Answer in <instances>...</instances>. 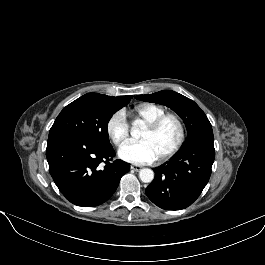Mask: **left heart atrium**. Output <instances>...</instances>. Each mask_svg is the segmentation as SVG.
Instances as JSON below:
<instances>
[{
    "instance_id": "39dd6f15",
    "label": "left heart atrium",
    "mask_w": 265,
    "mask_h": 265,
    "mask_svg": "<svg viewBox=\"0 0 265 265\" xmlns=\"http://www.w3.org/2000/svg\"><path fill=\"white\" fill-rule=\"evenodd\" d=\"M119 157L125 161L137 164L153 162L158 158L149 142H129L119 150Z\"/></svg>"
}]
</instances>
